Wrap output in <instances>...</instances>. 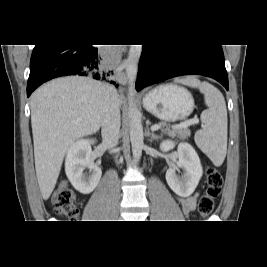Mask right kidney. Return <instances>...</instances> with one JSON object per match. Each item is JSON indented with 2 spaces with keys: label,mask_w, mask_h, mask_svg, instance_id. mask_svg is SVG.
I'll list each match as a JSON object with an SVG mask.
<instances>
[{
  "label": "right kidney",
  "mask_w": 267,
  "mask_h": 267,
  "mask_svg": "<svg viewBox=\"0 0 267 267\" xmlns=\"http://www.w3.org/2000/svg\"><path fill=\"white\" fill-rule=\"evenodd\" d=\"M93 139H81L68 149L65 172L73 187L82 194L91 193L98 185L102 171L91 159ZM88 168L90 175L83 173Z\"/></svg>",
  "instance_id": "right-kidney-1"
}]
</instances>
